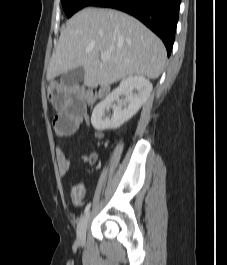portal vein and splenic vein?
<instances>
[{"label":"portal vein and splenic vein","mask_w":227,"mask_h":265,"mask_svg":"<svg viewBox=\"0 0 227 265\" xmlns=\"http://www.w3.org/2000/svg\"><path fill=\"white\" fill-rule=\"evenodd\" d=\"M110 58V53L109 52H102L101 53V59L106 60Z\"/></svg>","instance_id":"1"}]
</instances>
